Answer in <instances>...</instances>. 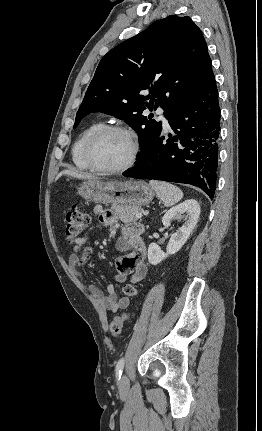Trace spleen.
<instances>
[{
    "instance_id": "spleen-1",
    "label": "spleen",
    "mask_w": 262,
    "mask_h": 431,
    "mask_svg": "<svg viewBox=\"0 0 262 431\" xmlns=\"http://www.w3.org/2000/svg\"><path fill=\"white\" fill-rule=\"evenodd\" d=\"M149 183L166 207L175 205L183 198L181 189L171 183L157 180H150Z\"/></svg>"
}]
</instances>
